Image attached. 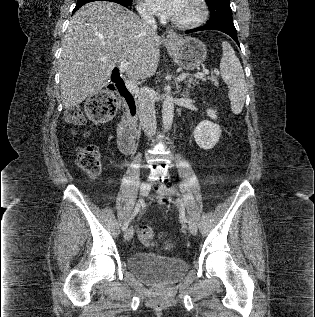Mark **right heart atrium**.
Here are the masks:
<instances>
[{"label": "right heart atrium", "instance_id": "right-heart-atrium-1", "mask_svg": "<svg viewBox=\"0 0 315 317\" xmlns=\"http://www.w3.org/2000/svg\"><path fill=\"white\" fill-rule=\"evenodd\" d=\"M137 9H138L139 13L145 18H150L152 16L150 10L141 1L138 3Z\"/></svg>", "mask_w": 315, "mask_h": 317}]
</instances>
